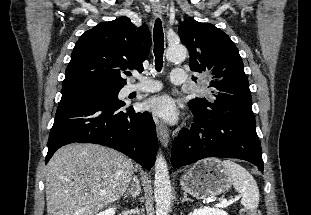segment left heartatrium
<instances>
[{
    "mask_svg": "<svg viewBox=\"0 0 311 215\" xmlns=\"http://www.w3.org/2000/svg\"><path fill=\"white\" fill-rule=\"evenodd\" d=\"M144 109L151 113L155 118L174 123L179 116L178 106L169 96L155 97L145 103Z\"/></svg>",
    "mask_w": 311,
    "mask_h": 215,
    "instance_id": "obj_1",
    "label": "left heart atrium"
}]
</instances>
